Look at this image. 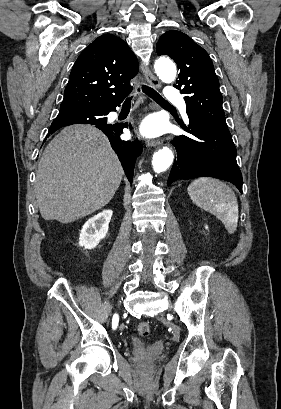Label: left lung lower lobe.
I'll return each mask as SVG.
<instances>
[{
  "label": "left lung lower lobe",
  "mask_w": 281,
  "mask_h": 409,
  "mask_svg": "<svg viewBox=\"0 0 281 409\" xmlns=\"http://www.w3.org/2000/svg\"><path fill=\"white\" fill-rule=\"evenodd\" d=\"M190 135L172 141L178 159L171 169L168 183L178 179L210 176L230 181L242 193V174L236 161V148L228 127L214 124L196 116H189Z\"/></svg>",
  "instance_id": "left-lung-lower-lobe-1"
}]
</instances>
